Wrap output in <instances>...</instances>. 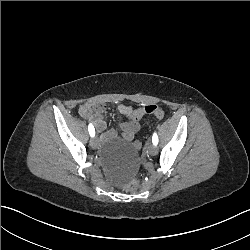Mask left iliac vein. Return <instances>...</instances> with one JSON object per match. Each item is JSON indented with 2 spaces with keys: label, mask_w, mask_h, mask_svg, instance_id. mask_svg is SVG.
Listing matches in <instances>:
<instances>
[{
  "label": "left iliac vein",
  "mask_w": 250,
  "mask_h": 250,
  "mask_svg": "<svg viewBox=\"0 0 250 250\" xmlns=\"http://www.w3.org/2000/svg\"><path fill=\"white\" fill-rule=\"evenodd\" d=\"M147 153L150 155H155L157 153V146L150 144L146 147Z\"/></svg>",
  "instance_id": "obj_1"
}]
</instances>
